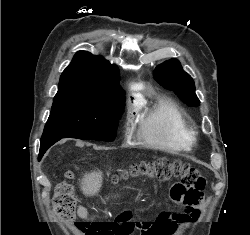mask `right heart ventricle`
I'll return each instance as SVG.
<instances>
[{
  "label": "right heart ventricle",
  "mask_w": 250,
  "mask_h": 235,
  "mask_svg": "<svg viewBox=\"0 0 250 235\" xmlns=\"http://www.w3.org/2000/svg\"><path fill=\"white\" fill-rule=\"evenodd\" d=\"M138 139L162 151L178 153L192 147L194 134L180 107L169 98L138 104Z\"/></svg>",
  "instance_id": "right-heart-ventricle-1"
}]
</instances>
